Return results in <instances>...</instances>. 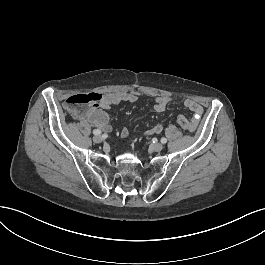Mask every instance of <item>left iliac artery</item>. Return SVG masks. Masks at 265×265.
<instances>
[{
  "mask_svg": "<svg viewBox=\"0 0 265 265\" xmlns=\"http://www.w3.org/2000/svg\"><path fill=\"white\" fill-rule=\"evenodd\" d=\"M167 142V139L166 138H162L161 139V143L165 144Z\"/></svg>",
  "mask_w": 265,
  "mask_h": 265,
  "instance_id": "1",
  "label": "left iliac artery"
}]
</instances>
